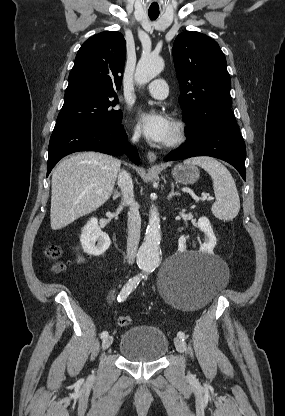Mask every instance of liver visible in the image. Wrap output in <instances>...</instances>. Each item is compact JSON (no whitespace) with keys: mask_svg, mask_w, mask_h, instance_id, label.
<instances>
[{"mask_svg":"<svg viewBox=\"0 0 285 416\" xmlns=\"http://www.w3.org/2000/svg\"><path fill=\"white\" fill-rule=\"evenodd\" d=\"M121 162L97 152L63 160L52 174L50 224L61 230L109 200Z\"/></svg>","mask_w":285,"mask_h":416,"instance_id":"liver-1","label":"liver"}]
</instances>
